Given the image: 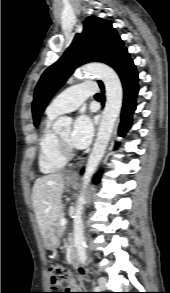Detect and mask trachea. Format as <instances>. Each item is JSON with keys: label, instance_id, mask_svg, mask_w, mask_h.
<instances>
[{"label": "trachea", "instance_id": "3493384b", "mask_svg": "<svg viewBox=\"0 0 170 293\" xmlns=\"http://www.w3.org/2000/svg\"><path fill=\"white\" fill-rule=\"evenodd\" d=\"M102 95L100 94V93H97L96 95H95V97H101Z\"/></svg>", "mask_w": 170, "mask_h": 293}]
</instances>
